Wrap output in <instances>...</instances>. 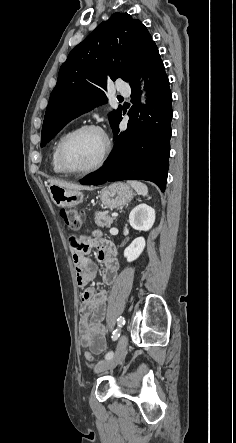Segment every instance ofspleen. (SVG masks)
Returning a JSON list of instances; mask_svg holds the SVG:
<instances>
[{
    "label": "spleen",
    "instance_id": "obj_1",
    "mask_svg": "<svg viewBox=\"0 0 236 443\" xmlns=\"http://www.w3.org/2000/svg\"><path fill=\"white\" fill-rule=\"evenodd\" d=\"M128 184H130L131 185V187L138 193V194H140V195H142V196H147V194H148V187L144 184V183H142V182H140V181H135V180H133V181H128Z\"/></svg>",
    "mask_w": 236,
    "mask_h": 443
}]
</instances>
